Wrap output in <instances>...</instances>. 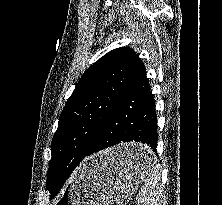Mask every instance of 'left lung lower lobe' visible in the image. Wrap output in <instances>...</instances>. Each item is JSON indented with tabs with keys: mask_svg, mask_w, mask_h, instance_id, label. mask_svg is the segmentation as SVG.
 I'll use <instances>...</instances> for the list:
<instances>
[{
	"mask_svg": "<svg viewBox=\"0 0 222 205\" xmlns=\"http://www.w3.org/2000/svg\"><path fill=\"white\" fill-rule=\"evenodd\" d=\"M131 141L149 145V151L125 152L121 155L120 161L132 165L149 163L152 151L156 152L157 147V117L146 69L142 62L109 111L88 151L83 155L67 152L59 160L57 169H60L64 176L51 192V198L59 192L63 183L85 157L116 144Z\"/></svg>",
	"mask_w": 222,
	"mask_h": 205,
	"instance_id": "obj_1",
	"label": "left lung lower lobe"
}]
</instances>
